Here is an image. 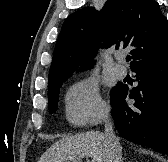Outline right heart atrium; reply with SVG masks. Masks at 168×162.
<instances>
[{
    "instance_id": "obj_1",
    "label": "right heart atrium",
    "mask_w": 168,
    "mask_h": 162,
    "mask_svg": "<svg viewBox=\"0 0 168 162\" xmlns=\"http://www.w3.org/2000/svg\"><path fill=\"white\" fill-rule=\"evenodd\" d=\"M109 107L99 93L97 83L83 79L70 87L66 95V118L78 126L94 125L104 120Z\"/></svg>"
}]
</instances>
